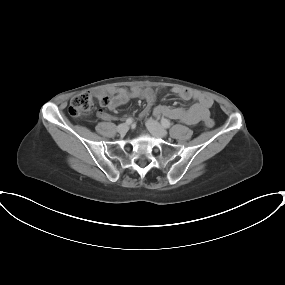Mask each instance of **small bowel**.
Here are the masks:
<instances>
[{"instance_id": "obj_1", "label": "small bowel", "mask_w": 285, "mask_h": 285, "mask_svg": "<svg viewBox=\"0 0 285 285\" xmlns=\"http://www.w3.org/2000/svg\"><path fill=\"white\" fill-rule=\"evenodd\" d=\"M109 92L113 94L108 106L110 109H116L132 99H144L147 102L146 107L139 114L140 119H144L150 113L152 106L156 100V92L151 88H142L140 86H132L130 88H110ZM172 92L182 100L193 99L195 104L189 108L170 107L159 105L154 107L153 113L155 116H166L170 119L179 120L186 124H196L210 116V108L213 105V100L198 91L187 89L174 88ZM105 92L102 89H95L94 94L100 97ZM98 116L104 120L110 118V115L100 111Z\"/></svg>"}]
</instances>
